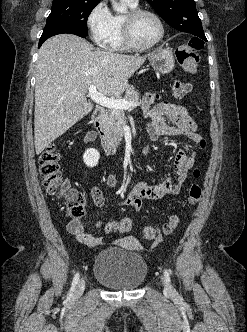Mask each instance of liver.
I'll return each instance as SVG.
<instances>
[{"mask_svg":"<svg viewBox=\"0 0 247 332\" xmlns=\"http://www.w3.org/2000/svg\"><path fill=\"white\" fill-rule=\"evenodd\" d=\"M146 57L95 49L85 39L60 34L43 43L36 63L34 143L39 155L56 138L89 114L90 86L119 97Z\"/></svg>","mask_w":247,"mask_h":332,"instance_id":"1","label":"liver"}]
</instances>
